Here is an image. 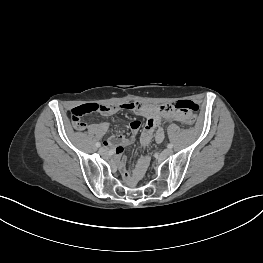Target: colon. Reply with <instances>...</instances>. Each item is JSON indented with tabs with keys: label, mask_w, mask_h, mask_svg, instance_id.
<instances>
[{
	"label": "colon",
	"mask_w": 263,
	"mask_h": 263,
	"mask_svg": "<svg viewBox=\"0 0 263 263\" xmlns=\"http://www.w3.org/2000/svg\"><path fill=\"white\" fill-rule=\"evenodd\" d=\"M174 108L182 113L188 115V122L192 123L196 119L195 113L198 111L199 106L196 102L192 100H179L174 104ZM105 110L104 105L96 103H88L80 105L72 110V120L75 128L82 130L84 123L82 118L90 113H101Z\"/></svg>",
	"instance_id": "1"
}]
</instances>
